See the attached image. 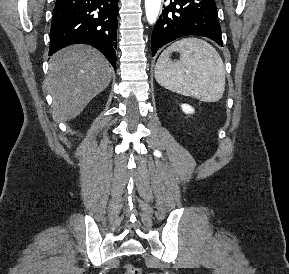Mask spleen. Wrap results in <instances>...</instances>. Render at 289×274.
<instances>
[{
  "label": "spleen",
  "mask_w": 289,
  "mask_h": 274,
  "mask_svg": "<svg viewBox=\"0 0 289 274\" xmlns=\"http://www.w3.org/2000/svg\"><path fill=\"white\" fill-rule=\"evenodd\" d=\"M179 52L172 61L170 53ZM156 81L164 88L204 102L220 100L225 91V68L216 49L201 39L183 38L170 45L157 60Z\"/></svg>",
  "instance_id": "3e777b00"
}]
</instances>
